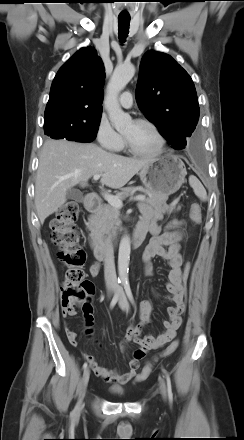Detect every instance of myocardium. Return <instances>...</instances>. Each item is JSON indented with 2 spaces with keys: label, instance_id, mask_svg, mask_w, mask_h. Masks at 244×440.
<instances>
[{
  "label": "myocardium",
  "instance_id": "f54148a6",
  "mask_svg": "<svg viewBox=\"0 0 244 440\" xmlns=\"http://www.w3.org/2000/svg\"><path fill=\"white\" fill-rule=\"evenodd\" d=\"M134 123L145 125V126H148L149 128H151L154 131L155 135L157 136L158 146L154 151L143 152V151H140L137 148H135L133 146V144L123 135L124 143H125L127 150L134 155L144 156V157L155 156V155L162 153L166 147V138H165L163 132L161 131V129L159 128V126L156 123L152 122L151 120L144 119V118L136 119L134 121Z\"/></svg>",
  "mask_w": 244,
  "mask_h": 440
}]
</instances>
